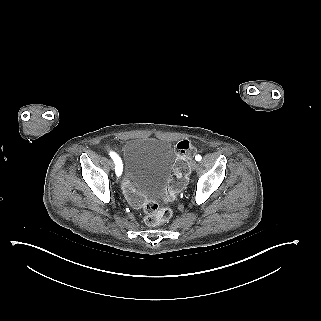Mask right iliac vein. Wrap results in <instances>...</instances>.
<instances>
[{
  "label": "right iliac vein",
  "instance_id": "1",
  "mask_svg": "<svg viewBox=\"0 0 321 321\" xmlns=\"http://www.w3.org/2000/svg\"><path fill=\"white\" fill-rule=\"evenodd\" d=\"M109 164H110L111 169L115 168V165H114V163L112 161H110Z\"/></svg>",
  "mask_w": 321,
  "mask_h": 321
}]
</instances>
